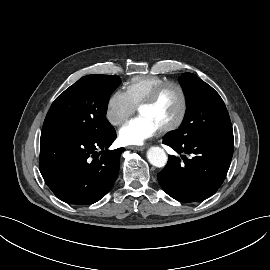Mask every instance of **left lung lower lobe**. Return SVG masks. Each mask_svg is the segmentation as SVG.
Here are the masks:
<instances>
[{"label": "left lung lower lobe", "mask_w": 270, "mask_h": 270, "mask_svg": "<svg viewBox=\"0 0 270 270\" xmlns=\"http://www.w3.org/2000/svg\"><path fill=\"white\" fill-rule=\"evenodd\" d=\"M163 143L187 158L169 156L165 168L158 173L162 189L180 202H196L212 196L223 183L228 172L234 148L233 135L194 133L185 140L171 134Z\"/></svg>", "instance_id": "1"}]
</instances>
